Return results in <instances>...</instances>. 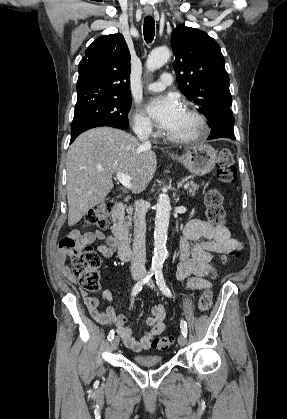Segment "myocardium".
<instances>
[{"label": "myocardium", "instance_id": "obj_1", "mask_svg": "<svg viewBox=\"0 0 287 419\" xmlns=\"http://www.w3.org/2000/svg\"><path fill=\"white\" fill-rule=\"evenodd\" d=\"M184 110L195 120L197 128L190 134L187 135H173L168 133L167 138L176 143H190L200 140L208 135L209 127L205 117L195 108L186 106Z\"/></svg>", "mask_w": 287, "mask_h": 419}]
</instances>
